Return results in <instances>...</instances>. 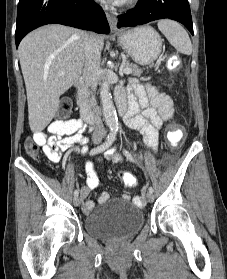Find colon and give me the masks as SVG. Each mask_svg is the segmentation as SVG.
Masks as SVG:
<instances>
[{
    "label": "colon",
    "instance_id": "obj_1",
    "mask_svg": "<svg viewBox=\"0 0 227 279\" xmlns=\"http://www.w3.org/2000/svg\"><path fill=\"white\" fill-rule=\"evenodd\" d=\"M61 117L59 118L58 121L62 122V124L60 125L63 128H67L68 125L66 124V122L68 121V116L71 113L72 110V104L70 101H64L61 103ZM171 135L174 136V138H172V140L174 141V139L176 137H180V134L171 131ZM26 151L28 152L29 155H31L34 158H37L39 156V151H38V146L37 144H35L32 141H27L26 142ZM119 178L121 180V182L128 187H134L137 185L138 181L137 178L134 174L130 173V172H120L119 173ZM143 197L142 196H138L135 199V204L140 206L143 203Z\"/></svg>",
    "mask_w": 227,
    "mask_h": 279
}]
</instances>
